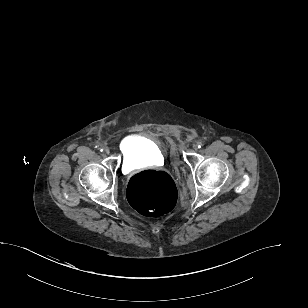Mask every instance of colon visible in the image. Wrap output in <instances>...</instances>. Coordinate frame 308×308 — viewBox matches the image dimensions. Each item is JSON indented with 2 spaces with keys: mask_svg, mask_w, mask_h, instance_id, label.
Here are the masks:
<instances>
[{
  "mask_svg": "<svg viewBox=\"0 0 308 308\" xmlns=\"http://www.w3.org/2000/svg\"><path fill=\"white\" fill-rule=\"evenodd\" d=\"M131 206L147 216L169 212L176 202V187L172 178L162 171H144L133 176L127 187Z\"/></svg>",
  "mask_w": 308,
  "mask_h": 308,
  "instance_id": "colon-1",
  "label": "colon"
}]
</instances>
